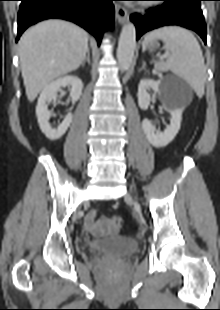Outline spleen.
I'll return each instance as SVG.
<instances>
[{"instance_id": "obj_1", "label": "spleen", "mask_w": 220, "mask_h": 310, "mask_svg": "<svg viewBox=\"0 0 220 310\" xmlns=\"http://www.w3.org/2000/svg\"><path fill=\"white\" fill-rule=\"evenodd\" d=\"M161 39L170 53L166 61L155 64L160 71H172L184 79L199 97L204 94L205 64L201 47L195 36L182 27L166 26L148 33L143 48L152 40Z\"/></svg>"}]
</instances>
